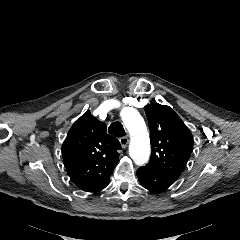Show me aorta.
I'll list each match as a JSON object with an SVG mask.
<instances>
[{"label": "aorta", "instance_id": "aorta-1", "mask_svg": "<svg viewBox=\"0 0 240 240\" xmlns=\"http://www.w3.org/2000/svg\"><path fill=\"white\" fill-rule=\"evenodd\" d=\"M121 117L131 137L130 157L139 166L146 164L151 149L147 127L142 116L133 108H125L121 112Z\"/></svg>", "mask_w": 240, "mask_h": 240}]
</instances>
